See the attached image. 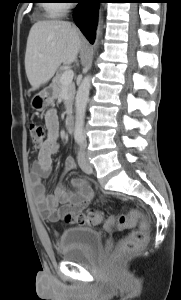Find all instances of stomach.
Listing matches in <instances>:
<instances>
[{
  "instance_id": "1",
  "label": "stomach",
  "mask_w": 181,
  "mask_h": 300,
  "mask_svg": "<svg viewBox=\"0 0 181 300\" xmlns=\"http://www.w3.org/2000/svg\"><path fill=\"white\" fill-rule=\"evenodd\" d=\"M54 98L52 87H47L32 98L31 106L37 111L43 110L53 102Z\"/></svg>"
}]
</instances>
